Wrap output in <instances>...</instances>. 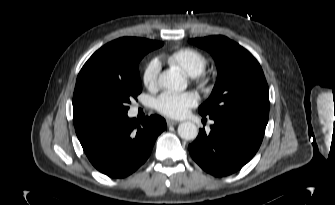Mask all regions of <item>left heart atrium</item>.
I'll use <instances>...</instances> for the list:
<instances>
[{"label":"left heart atrium","mask_w":335,"mask_h":205,"mask_svg":"<svg viewBox=\"0 0 335 205\" xmlns=\"http://www.w3.org/2000/svg\"><path fill=\"white\" fill-rule=\"evenodd\" d=\"M199 98L193 92H164L155 100V108L163 115L172 118L184 117L198 104Z\"/></svg>","instance_id":"obj_1"}]
</instances>
